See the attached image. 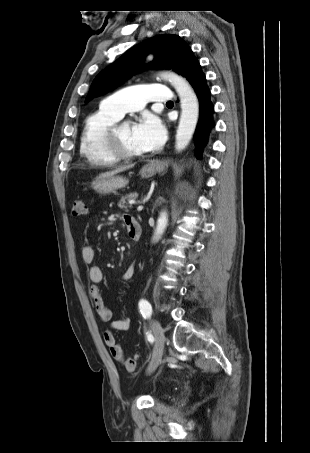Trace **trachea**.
<instances>
[{"label":"trachea","instance_id":"obj_1","mask_svg":"<svg viewBox=\"0 0 310 453\" xmlns=\"http://www.w3.org/2000/svg\"><path fill=\"white\" fill-rule=\"evenodd\" d=\"M166 104H173V102L172 101H168Z\"/></svg>","mask_w":310,"mask_h":453}]
</instances>
